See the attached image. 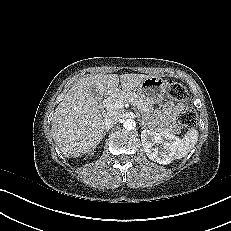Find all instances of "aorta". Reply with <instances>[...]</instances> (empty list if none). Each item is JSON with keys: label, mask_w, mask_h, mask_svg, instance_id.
Instances as JSON below:
<instances>
[{"label": "aorta", "mask_w": 231, "mask_h": 231, "mask_svg": "<svg viewBox=\"0 0 231 231\" xmlns=\"http://www.w3.org/2000/svg\"><path fill=\"white\" fill-rule=\"evenodd\" d=\"M123 127L127 130H134L136 127V122L133 119H126L123 122Z\"/></svg>", "instance_id": "aorta-1"}]
</instances>
